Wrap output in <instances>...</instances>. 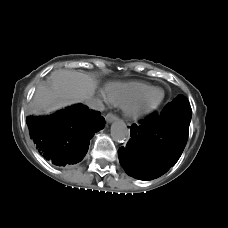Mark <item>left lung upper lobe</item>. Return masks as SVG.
Instances as JSON below:
<instances>
[{
    "mask_svg": "<svg viewBox=\"0 0 228 228\" xmlns=\"http://www.w3.org/2000/svg\"><path fill=\"white\" fill-rule=\"evenodd\" d=\"M165 108H179L187 112H191L190 103L184 95H179L172 102H170Z\"/></svg>",
    "mask_w": 228,
    "mask_h": 228,
    "instance_id": "1",
    "label": "left lung upper lobe"
}]
</instances>
